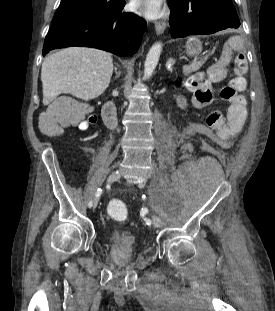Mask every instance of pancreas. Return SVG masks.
I'll return each mask as SVG.
<instances>
[{"label":"pancreas","mask_w":275,"mask_h":311,"mask_svg":"<svg viewBox=\"0 0 275 311\" xmlns=\"http://www.w3.org/2000/svg\"><path fill=\"white\" fill-rule=\"evenodd\" d=\"M204 61L205 60H201V61H198V62L191 64L190 66H186L184 68V73L189 74V73L197 70L204 63Z\"/></svg>","instance_id":"obj_1"}]
</instances>
